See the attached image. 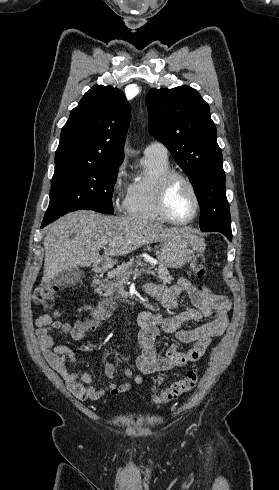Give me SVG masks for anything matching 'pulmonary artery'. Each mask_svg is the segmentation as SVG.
I'll return each instance as SVG.
<instances>
[{
    "mask_svg": "<svg viewBox=\"0 0 279 490\" xmlns=\"http://www.w3.org/2000/svg\"><path fill=\"white\" fill-rule=\"evenodd\" d=\"M144 155L168 158V149L163 142L154 140L146 146Z\"/></svg>",
    "mask_w": 279,
    "mask_h": 490,
    "instance_id": "obj_1",
    "label": "pulmonary artery"
}]
</instances>
